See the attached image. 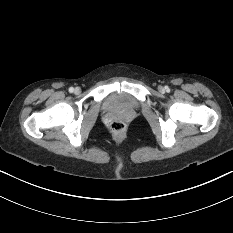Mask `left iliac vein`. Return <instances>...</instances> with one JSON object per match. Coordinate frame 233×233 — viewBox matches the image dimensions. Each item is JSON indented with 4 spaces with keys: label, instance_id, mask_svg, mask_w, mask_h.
Segmentation results:
<instances>
[{
    "label": "left iliac vein",
    "instance_id": "obj_1",
    "mask_svg": "<svg viewBox=\"0 0 233 233\" xmlns=\"http://www.w3.org/2000/svg\"><path fill=\"white\" fill-rule=\"evenodd\" d=\"M159 91L163 93L165 91L164 87L160 86Z\"/></svg>",
    "mask_w": 233,
    "mask_h": 233
}]
</instances>
